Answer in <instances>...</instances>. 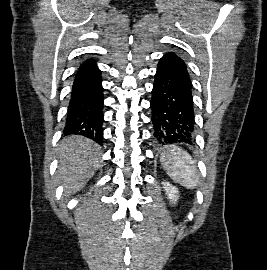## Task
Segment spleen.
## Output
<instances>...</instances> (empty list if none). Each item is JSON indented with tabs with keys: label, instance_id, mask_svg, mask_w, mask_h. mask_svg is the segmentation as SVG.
Wrapping results in <instances>:
<instances>
[{
	"label": "spleen",
	"instance_id": "spleen-1",
	"mask_svg": "<svg viewBox=\"0 0 267 270\" xmlns=\"http://www.w3.org/2000/svg\"><path fill=\"white\" fill-rule=\"evenodd\" d=\"M167 174L177 183L193 189L197 185V169L192 157L177 146L167 147L161 156Z\"/></svg>",
	"mask_w": 267,
	"mask_h": 270
}]
</instances>
